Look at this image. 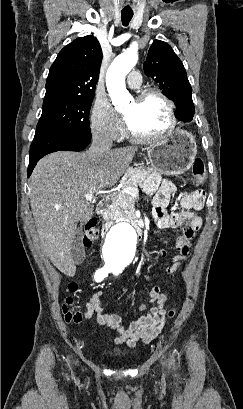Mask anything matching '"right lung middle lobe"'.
<instances>
[{
    "mask_svg": "<svg viewBox=\"0 0 243 409\" xmlns=\"http://www.w3.org/2000/svg\"><path fill=\"white\" fill-rule=\"evenodd\" d=\"M92 101L93 97L44 101L37 130L90 134L89 111Z\"/></svg>",
    "mask_w": 243,
    "mask_h": 409,
    "instance_id": "1",
    "label": "right lung middle lobe"
}]
</instances>
